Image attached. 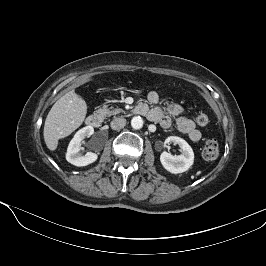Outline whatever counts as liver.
I'll list each match as a JSON object with an SVG mask.
<instances>
[{"label": "liver", "instance_id": "6515ba94", "mask_svg": "<svg viewBox=\"0 0 266 266\" xmlns=\"http://www.w3.org/2000/svg\"><path fill=\"white\" fill-rule=\"evenodd\" d=\"M87 104L71 90L59 98L49 111L44 125V141L54 151L58 141L75 131L84 121Z\"/></svg>", "mask_w": 266, "mask_h": 266}]
</instances>
